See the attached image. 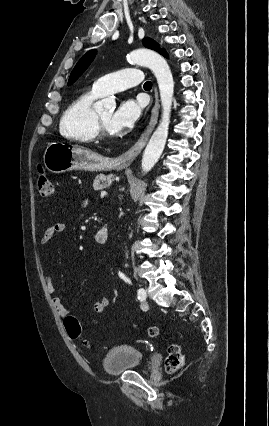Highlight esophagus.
Wrapping results in <instances>:
<instances>
[{"label":"esophagus","mask_w":269,"mask_h":426,"mask_svg":"<svg viewBox=\"0 0 269 426\" xmlns=\"http://www.w3.org/2000/svg\"><path fill=\"white\" fill-rule=\"evenodd\" d=\"M154 97H155V103L152 109L150 122L147 128L145 129V131L143 132L142 136L140 137V139L136 142V144L132 146L128 151H126L125 153L119 156V162L121 164L130 165L133 162V160L140 154L142 149L145 147L152 131L154 130L156 126L158 115H159V98H158V91L156 87L154 88Z\"/></svg>","instance_id":"34e87169"}]
</instances>
